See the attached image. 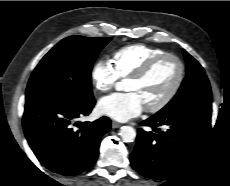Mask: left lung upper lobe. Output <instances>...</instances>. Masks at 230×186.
I'll use <instances>...</instances> for the list:
<instances>
[{
  "instance_id": "1",
  "label": "left lung upper lobe",
  "mask_w": 230,
  "mask_h": 186,
  "mask_svg": "<svg viewBox=\"0 0 230 186\" xmlns=\"http://www.w3.org/2000/svg\"><path fill=\"white\" fill-rule=\"evenodd\" d=\"M183 53L187 63L186 78L176 96L158 113L171 112L190 105L212 103L211 88L204 69L184 49Z\"/></svg>"
}]
</instances>
